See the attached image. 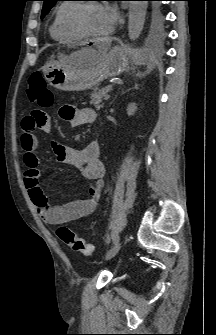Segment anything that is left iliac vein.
Returning a JSON list of instances; mask_svg holds the SVG:
<instances>
[{"label": "left iliac vein", "mask_w": 216, "mask_h": 335, "mask_svg": "<svg viewBox=\"0 0 216 335\" xmlns=\"http://www.w3.org/2000/svg\"><path fill=\"white\" fill-rule=\"evenodd\" d=\"M122 245V242H118L116 245H114L106 254L105 259L110 260L113 258L120 250Z\"/></svg>", "instance_id": "obj_1"}]
</instances>
